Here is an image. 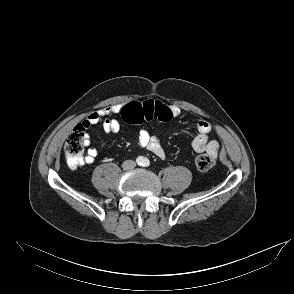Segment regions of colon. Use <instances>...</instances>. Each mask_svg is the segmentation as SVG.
Instances as JSON below:
<instances>
[{"label":"colon","instance_id":"colon-1","mask_svg":"<svg viewBox=\"0 0 294 294\" xmlns=\"http://www.w3.org/2000/svg\"><path fill=\"white\" fill-rule=\"evenodd\" d=\"M121 117L128 123L139 124L150 120L169 121L172 119L170 107L159 101L130 102L121 110ZM85 130L81 125L76 126L68 135L64 145L66 161L69 167L76 168L84 163ZM216 162L212 154H200L195 164L199 171L208 172Z\"/></svg>","mask_w":294,"mask_h":294}]
</instances>
